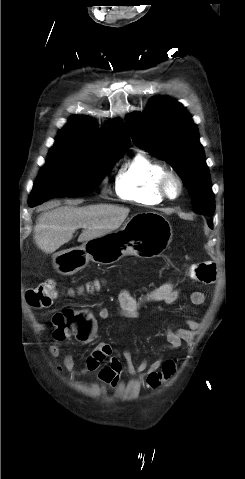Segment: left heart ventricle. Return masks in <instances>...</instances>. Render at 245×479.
Segmentation results:
<instances>
[{"instance_id": "b2bd125f", "label": "left heart ventricle", "mask_w": 245, "mask_h": 479, "mask_svg": "<svg viewBox=\"0 0 245 479\" xmlns=\"http://www.w3.org/2000/svg\"><path fill=\"white\" fill-rule=\"evenodd\" d=\"M170 192H171V194H175V193L177 192V186H176V184H174V183L171 184V186H170Z\"/></svg>"}]
</instances>
